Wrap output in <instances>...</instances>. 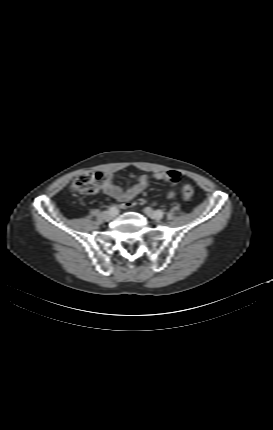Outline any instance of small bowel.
<instances>
[{
	"instance_id": "1",
	"label": "small bowel",
	"mask_w": 273,
	"mask_h": 430,
	"mask_svg": "<svg viewBox=\"0 0 273 430\" xmlns=\"http://www.w3.org/2000/svg\"><path fill=\"white\" fill-rule=\"evenodd\" d=\"M135 183L130 187L123 189L113 182V176L110 172H105L103 174V179L100 185L98 186V190L105 193L106 195L116 199L121 202V206L125 207L129 201L134 199L140 193H142L149 185V180L147 175H139L135 176ZM153 177L156 180L163 181L165 183H170L171 185L175 184L179 180V174L175 171L168 172H158L154 173ZM168 197L174 198L175 193L173 190H169L167 193Z\"/></svg>"
}]
</instances>
